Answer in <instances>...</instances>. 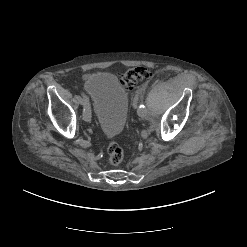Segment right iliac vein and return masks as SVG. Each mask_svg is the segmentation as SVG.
Returning a JSON list of instances; mask_svg holds the SVG:
<instances>
[{
    "label": "right iliac vein",
    "mask_w": 247,
    "mask_h": 247,
    "mask_svg": "<svg viewBox=\"0 0 247 247\" xmlns=\"http://www.w3.org/2000/svg\"><path fill=\"white\" fill-rule=\"evenodd\" d=\"M86 102V106L83 107V119L87 122L91 120V109H90V104L87 98L84 99Z\"/></svg>",
    "instance_id": "right-iliac-vein-1"
}]
</instances>
